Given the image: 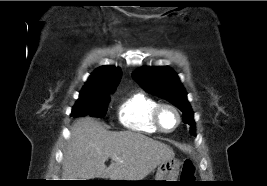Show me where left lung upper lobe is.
<instances>
[{
	"label": "left lung upper lobe",
	"instance_id": "obj_1",
	"mask_svg": "<svg viewBox=\"0 0 267 186\" xmlns=\"http://www.w3.org/2000/svg\"><path fill=\"white\" fill-rule=\"evenodd\" d=\"M133 78L146 91L168 100L183 113V121L190 125L195 136L193 111L187 100V93L177 74L169 67H141L132 74Z\"/></svg>",
	"mask_w": 267,
	"mask_h": 186
}]
</instances>
